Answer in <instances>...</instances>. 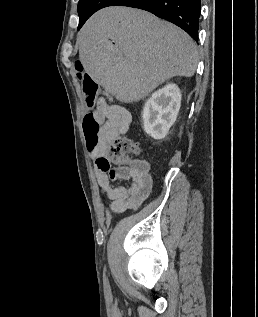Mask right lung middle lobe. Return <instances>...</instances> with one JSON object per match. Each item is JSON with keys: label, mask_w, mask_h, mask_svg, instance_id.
<instances>
[{"label": "right lung middle lobe", "mask_w": 258, "mask_h": 317, "mask_svg": "<svg viewBox=\"0 0 258 317\" xmlns=\"http://www.w3.org/2000/svg\"><path fill=\"white\" fill-rule=\"evenodd\" d=\"M87 0H79L78 3V11L81 9V7L83 6V4L86 2Z\"/></svg>", "instance_id": "right-lung-middle-lobe-1"}]
</instances>
